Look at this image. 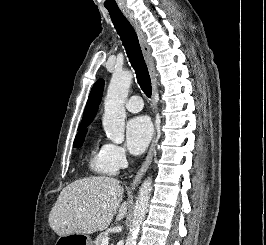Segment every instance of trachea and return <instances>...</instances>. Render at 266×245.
I'll list each match as a JSON object with an SVG mask.
<instances>
[{
    "mask_svg": "<svg viewBox=\"0 0 266 245\" xmlns=\"http://www.w3.org/2000/svg\"><path fill=\"white\" fill-rule=\"evenodd\" d=\"M112 22L120 35L129 61L134 68L138 83L147 97H151L152 85L150 75L143 58L135 30L121 12H109Z\"/></svg>",
    "mask_w": 266,
    "mask_h": 245,
    "instance_id": "obj_1",
    "label": "trachea"
}]
</instances>
